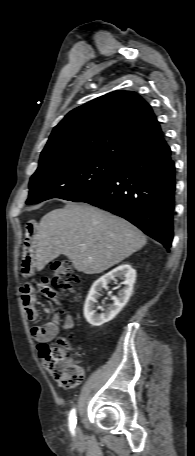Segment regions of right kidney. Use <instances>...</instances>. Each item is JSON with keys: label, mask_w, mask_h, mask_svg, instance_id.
Returning a JSON list of instances; mask_svg holds the SVG:
<instances>
[{"label": "right kidney", "mask_w": 195, "mask_h": 456, "mask_svg": "<svg viewBox=\"0 0 195 456\" xmlns=\"http://www.w3.org/2000/svg\"><path fill=\"white\" fill-rule=\"evenodd\" d=\"M116 278L123 280L122 284L124 287L118 292V297L111 296L113 303L107 311L101 314L96 313L95 304L97 303V298L100 296V292L104 288H107V285ZM135 280L136 271L129 264H122L97 279L93 283L84 305L83 313L87 322L91 326L98 327L114 319L128 302L133 292Z\"/></svg>", "instance_id": "1"}]
</instances>
